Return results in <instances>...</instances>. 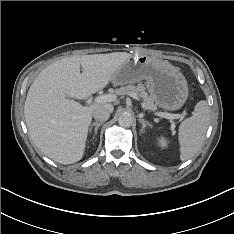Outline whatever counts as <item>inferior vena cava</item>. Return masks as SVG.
Masks as SVG:
<instances>
[{
	"instance_id": "1",
	"label": "inferior vena cava",
	"mask_w": 234,
	"mask_h": 234,
	"mask_svg": "<svg viewBox=\"0 0 234 234\" xmlns=\"http://www.w3.org/2000/svg\"><path fill=\"white\" fill-rule=\"evenodd\" d=\"M110 110L105 107H98L93 111V117L101 122L108 120L110 117Z\"/></svg>"
}]
</instances>
